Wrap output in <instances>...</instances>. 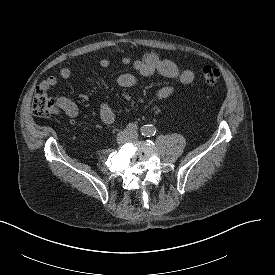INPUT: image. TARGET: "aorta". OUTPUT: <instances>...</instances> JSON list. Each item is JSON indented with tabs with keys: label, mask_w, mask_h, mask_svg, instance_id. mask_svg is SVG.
I'll return each mask as SVG.
<instances>
[{
	"label": "aorta",
	"mask_w": 275,
	"mask_h": 275,
	"mask_svg": "<svg viewBox=\"0 0 275 275\" xmlns=\"http://www.w3.org/2000/svg\"><path fill=\"white\" fill-rule=\"evenodd\" d=\"M152 131H153L152 128H148L147 133L152 132Z\"/></svg>",
	"instance_id": "obj_1"
}]
</instances>
